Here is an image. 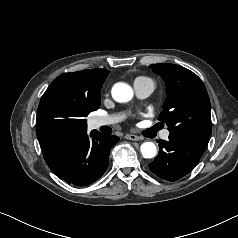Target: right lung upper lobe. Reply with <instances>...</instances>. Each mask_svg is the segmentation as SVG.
I'll use <instances>...</instances> for the list:
<instances>
[{
	"mask_svg": "<svg viewBox=\"0 0 238 238\" xmlns=\"http://www.w3.org/2000/svg\"><path fill=\"white\" fill-rule=\"evenodd\" d=\"M108 74L106 69H88L64 73L53 80L37 111L36 134L42 151L86 127L84 106L100 100V89Z\"/></svg>",
	"mask_w": 238,
	"mask_h": 238,
	"instance_id": "obj_1",
	"label": "right lung upper lobe"
}]
</instances>
